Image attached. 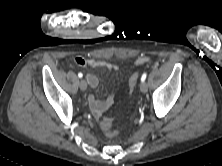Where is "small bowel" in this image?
<instances>
[{
    "mask_svg": "<svg viewBox=\"0 0 222 166\" xmlns=\"http://www.w3.org/2000/svg\"><path fill=\"white\" fill-rule=\"evenodd\" d=\"M150 61L149 57L147 56H140L136 59L135 64L136 65H142L145 63H148ZM75 63L81 67H106L109 70H117L118 66L109 63L103 60H95V59H90V58H84V57H76L75 58ZM86 80L91 88H96L98 86V78L92 74V73H87L86 74ZM114 95L111 94L109 95L105 100H97L93 94H90L88 96V104L91 109L92 114L96 117L99 118L102 116V114L107 111L114 103Z\"/></svg>",
    "mask_w": 222,
    "mask_h": 166,
    "instance_id": "c3829d8e",
    "label": "small bowel"
}]
</instances>
